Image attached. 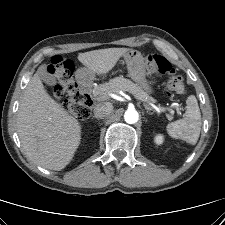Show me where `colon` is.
<instances>
[{
    "label": "colon",
    "mask_w": 225,
    "mask_h": 225,
    "mask_svg": "<svg viewBox=\"0 0 225 225\" xmlns=\"http://www.w3.org/2000/svg\"><path fill=\"white\" fill-rule=\"evenodd\" d=\"M146 62L151 73L168 76L166 87L168 94L182 95L187 92L183 78L165 57L150 53ZM73 69L74 65L70 60L53 58L48 70L58 83L54 86L52 94L67 111L79 119H87L91 113L92 102L79 88L73 77Z\"/></svg>",
    "instance_id": "5ec220e1"
}]
</instances>
